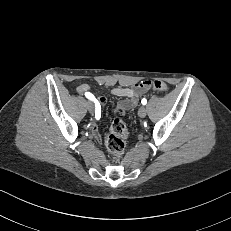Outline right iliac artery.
<instances>
[{"mask_svg": "<svg viewBox=\"0 0 231 231\" xmlns=\"http://www.w3.org/2000/svg\"><path fill=\"white\" fill-rule=\"evenodd\" d=\"M85 96H86L88 99L94 101L95 107H96L95 118H96L97 120H99L100 117H101V106L99 105V103L96 101L95 97H94L91 93L86 92V93H85Z\"/></svg>", "mask_w": 231, "mask_h": 231, "instance_id": "82829eb1", "label": "right iliac artery"}]
</instances>
